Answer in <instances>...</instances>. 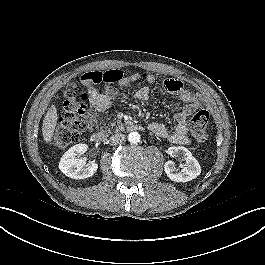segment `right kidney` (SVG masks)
Returning <instances> with one entry per match:
<instances>
[{
  "label": "right kidney",
  "instance_id": "obj_1",
  "mask_svg": "<svg viewBox=\"0 0 265 265\" xmlns=\"http://www.w3.org/2000/svg\"><path fill=\"white\" fill-rule=\"evenodd\" d=\"M88 149L86 144H77L64 153L59 169L68 177L73 179H85L91 177L98 169L97 163L86 165V159L79 158Z\"/></svg>",
  "mask_w": 265,
  "mask_h": 265
}]
</instances>
